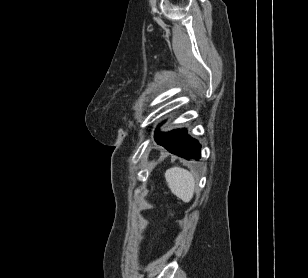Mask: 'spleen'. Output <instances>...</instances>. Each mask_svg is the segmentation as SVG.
Masks as SVG:
<instances>
[{"label":"spleen","mask_w":308,"mask_h":278,"mask_svg":"<svg viewBox=\"0 0 308 278\" xmlns=\"http://www.w3.org/2000/svg\"><path fill=\"white\" fill-rule=\"evenodd\" d=\"M165 178L174 195L185 203L191 201L195 191V179L190 171L175 166L166 170Z\"/></svg>","instance_id":"obj_1"}]
</instances>
